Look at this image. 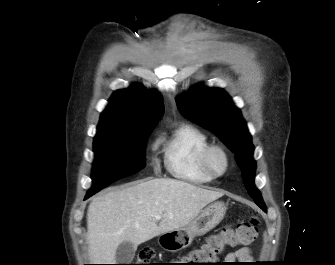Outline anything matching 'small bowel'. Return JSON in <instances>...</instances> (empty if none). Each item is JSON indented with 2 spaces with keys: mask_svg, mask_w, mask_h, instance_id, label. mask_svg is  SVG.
Instances as JSON below:
<instances>
[{
  "mask_svg": "<svg viewBox=\"0 0 335 265\" xmlns=\"http://www.w3.org/2000/svg\"><path fill=\"white\" fill-rule=\"evenodd\" d=\"M225 263L232 264L236 261L248 262L252 260V252L248 247H242L226 254Z\"/></svg>",
  "mask_w": 335,
  "mask_h": 265,
  "instance_id": "1",
  "label": "small bowel"
}]
</instances>
